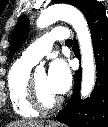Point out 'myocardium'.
<instances>
[{"label":"myocardium","mask_w":108,"mask_h":127,"mask_svg":"<svg viewBox=\"0 0 108 127\" xmlns=\"http://www.w3.org/2000/svg\"><path fill=\"white\" fill-rule=\"evenodd\" d=\"M28 96L32 107L38 112H50L55 110L61 103L60 98H56L51 102H46L36 85L34 75H31L28 82Z\"/></svg>","instance_id":"1"}]
</instances>
